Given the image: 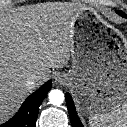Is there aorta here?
Here are the masks:
<instances>
[{
	"instance_id": "aorta-1",
	"label": "aorta",
	"mask_w": 127,
	"mask_h": 127,
	"mask_svg": "<svg viewBox=\"0 0 127 127\" xmlns=\"http://www.w3.org/2000/svg\"><path fill=\"white\" fill-rule=\"evenodd\" d=\"M49 101L52 105L59 106L64 101V94L61 90L53 89L49 92Z\"/></svg>"
}]
</instances>
